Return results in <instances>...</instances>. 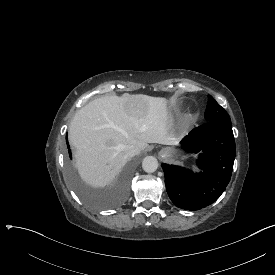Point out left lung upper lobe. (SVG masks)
<instances>
[{
	"label": "left lung upper lobe",
	"mask_w": 275,
	"mask_h": 275,
	"mask_svg": "<svg viewBox=\"0 0 275 275\" xmlns=\"http://www.w3.org/2000/svg\"><path fill=\"white\" fill-rule=\"evenodd\" d=\"M206 121H222L231 124V120L224 108H222L211 96L208 95V104L204 115Z\"/></svg>",
	"instance_id": "5c2ea615"
}]
</instances>
